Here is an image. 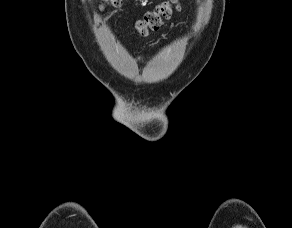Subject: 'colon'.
I'll use <instances>...</instances> for the list:
<instances>
[{
  "label": "colon",
  "mask_w": 292,
  "mask_h": 228,
  "mask_svg": "<svg viewBox=\"0 0 292 228\" xmlns=\"http://www.w3.org/2000/svg\"><path fill=\"white\" fill-rule=\"evenodd\" d=\"M110 3L114 6H120L122 0H110ZM176 3V0H166L154 10L147 12L142 19L137 21L135 26L136 32L144 36L149 31L157 30L162 21L170 17Z\"/></svg>",
  "instance_id": "obj_1"
}]
</instances>
